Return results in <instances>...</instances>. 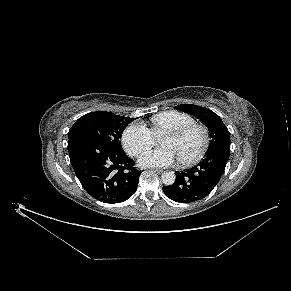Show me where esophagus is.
Here are the masks:
<instances>
[{
	"label": "esophagus",
	"instance_id": "34e87169",
	"mask_svg": "<svg viewBox=\"0 0 291 291\" xmlns=\"http://www.w3.org/2000/svg\"><path fill=\"white\" fill-rule=\"evenodd\" d=\"M151 170L154 171V172H156V173H158V174H161L163 172V170L156 169V168H152Z\"/></svg>",
	"mask_w": 291,
	"mask_h": 291
}]
</instances>
